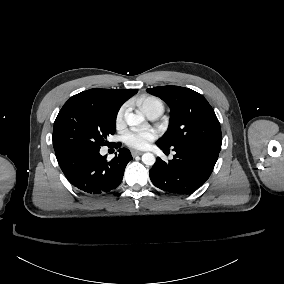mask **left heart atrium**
I'll list each match as a JSON object with an SVG mask.
<instances>
[{
    "label": "left heart atrium",
    "mask_w": 284,
    "mask_h": 284,
    "mask_svg": "<svg viewBox=\"0 0 284 284\" xmlns=\"http://www.w3.org/2000/svg\"><path fill=\"white\" fill-rule=\"evenodd\" d=\"M155 138V132L149 129H131L125 134V142L134 148H144Z\"/></svg>",
    "instance_id": "left-heart-atrium-1"
}]
</instances>
